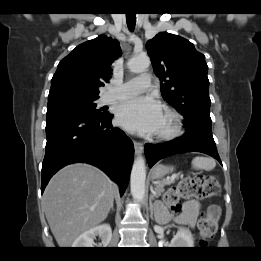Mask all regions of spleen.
Instances as JSON below:
<instances>
[{"label":"spleen","mask_w":261,"mask_h":261,"mask_svg":"<svg viewBox=\"0 0 261 261\" xmlns=\"http://www.w3.org/2000/svg\"><path fill=\"white\" fill-rule=\"evenodd\" d=\"M192 166L197 170L210 171L215 168L216 162L214 159L204 156H196L192 160Z\"/></svg>","instance_id":"obj_1"}]
</instances>
